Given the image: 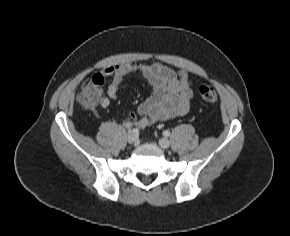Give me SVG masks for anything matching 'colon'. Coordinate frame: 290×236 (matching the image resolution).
Here are the masks:
<instances>
[{
	"instance_id": "colon-1",
	"label": "colon",
	"mask_w": 290,
	"mask_h": 236,
	"mask_svg": "<svg viewBox=\"0 0 290 236\" xmlns=\"http://www.w3.org/2000/svg\"><path fill=\"white\" fill-rule=\"evenodd\" d=\"M103 80L90 78L85 80L78 91V101L88 109H93L99 102ZM199 96L205 103H214L218 95L214 87L202 85L198 89Z\"/></svg>"
}]
</instances>
